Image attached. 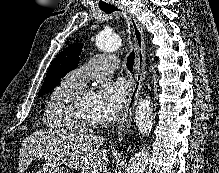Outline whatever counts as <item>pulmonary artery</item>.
<instances>
[{
    "mask_svg": "<svg viewBox=\"0 0 219 173\" xmlns=\"http://www.w3.org/2000/svg\"><path fill=\"white\" fill-rule=\"evenodd\" d=\"M119 59L113 56L96 55L67 75V79L78 86H85L91 78L101 76L116 69Z\"/></svg>",
    "mask_w": 219,
    "mask_h": 173,
    "instance_id": "obj_1",
    "label": "pulmonary artery"
}]
</instances>
